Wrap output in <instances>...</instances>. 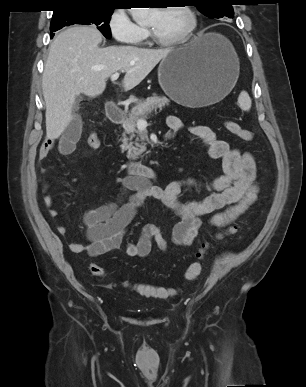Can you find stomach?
<instances>
[{"label": "stomach", "instance_id": "0dacf381", "mask_svg": "<svg viewBox=\"0 0 306 387\" xmlns=\"http://www.w3.org/2000/svg\"><path fill=\"white\" fill-rule=\"evenodd\" d=\"M238 76L234 48L217 33H200L187 45L171 51L158 67L159 84L166 95L192 108L222 100Z\"/></svg>", "mask_w": 306, "mask_h": 387}]
</instances>
